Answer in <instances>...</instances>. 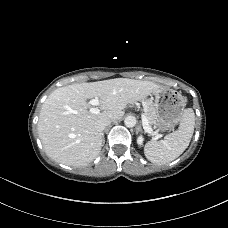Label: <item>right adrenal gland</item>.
<instances>
[{
	"mask_svg": "<svg viewBox=\"0 0 228 228\" xmlns=\"http://www.w3.org/2000/svg\"><path fill=\"white\" fill-rule=\"evenodd\" d=\"M102 139H103V144L105 143V137H104V133H101Z\"/></svg>",
	"mask_w": 228,
	"mask_h": 228,
	"instance_id": "1",
	"label": "right adrenal gland"
}]
</instances>
